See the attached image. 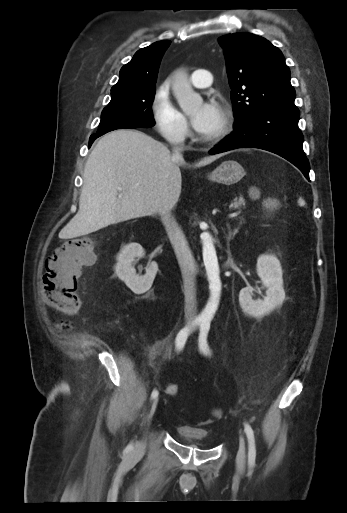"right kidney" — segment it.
Listing matches in <instances>:
<instances>
[{
    "instance_id": "1",
    "label": "right kidney",
    "mask_w": 347,
    "mask_h": 513,
    "mask_svg": "<svg viewBox=\"0 0 347 513\" xmlns=\"http://www.w3.org/2000/svg\"><path fill=\"white\" fill-rule=\"evenodd\" d=\"M144 255V249L140 244L131 243L125 246L117 256L116 274L135 294L148 291L158 271L157 263L152 262L146 269L145 275L139 276L136 274L133 266L135 259L142 258Z\"/></svg>"
}]
</instances>
